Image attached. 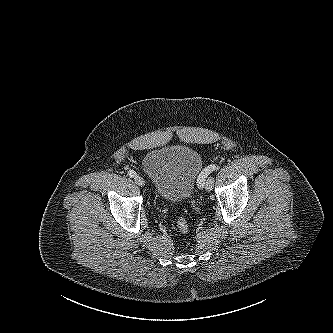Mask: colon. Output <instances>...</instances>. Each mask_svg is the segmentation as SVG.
<instances>
[{
	"label": "colon",
	"mask_w": 333,
	"mask_h": 333,
	"mask_svg": "<svg viewBox=\"0 0 333 333\" xmlns=\"http://www.w3.org/2000/svg\"><path fill=\"white\" fill-rule=\"evenodd\" d=\"M177 227L182 233H186L189 230V223L184 217H179L177 220Z\"/></svg>",
	"instance_id": "1"
}]
</instances>
